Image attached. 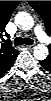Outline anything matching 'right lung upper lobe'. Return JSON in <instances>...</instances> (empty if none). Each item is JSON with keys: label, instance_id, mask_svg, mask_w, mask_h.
I'll use <instances>...</instances> for the list:
<instances>
[{"label": "right lung upper lobe", "instance_id": "obj_1", "mask_svg": "<svg viewBox=\"0 0 51 101\" xmlns=\"http://www.w3.org/2000/svg\"><path fill=\"white\" fill-rule=\"evenodd\" d=\"M19 3L20 1H0V38L4 41L1 42L0 49V74L6 72L12 66L19 54V51L11 46L10 40L5 41L2 37L3 32H6L5 26ZM6 36L8 37V34Z\"/></svg>", "mask_w": 51, "mask_h": 101}]
</instances>
